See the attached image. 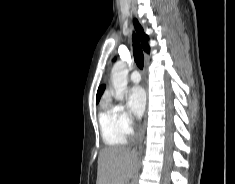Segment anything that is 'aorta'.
<instances>
[{"mask_svg":"<svg viewBox=\"0 0 235 184\" xmlns=\"http://www.w3.org/2000/svg\"><path fill=\"white\" fill-rule=\"evenodd\" d=\"M127 76L128 70L126 64L123 62H116L111 70V82L115 90V100L123 102L128 94L127 90Z\"/></svg>","mask_w":235,"mask_h":184,"instance_id":"1","label":"aorta"}]
</instances>
